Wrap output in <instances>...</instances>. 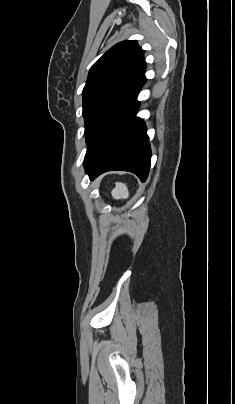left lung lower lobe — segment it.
I'll return each instance as SVG.
<instances>
[{
    "instance_id": "left-lung-lower-lobe-1",
    "label": "left lung lower lobe",
    "mask_w": 235,
    "mask_h": 404,
    "mask_svg": "<svg viewBox=\"0 0 235 404\" xmlns=\"http://www.w3.org/2000/svg\"><path fill=\"white\" fill-rule=\"evenodd\" d=\"M140 89L101 126L88 145L84 165L91 180L110 170L130 171L142 182L147 179L151 149L146 126L136 117Z\"/></svg>"
}]
</instances>
